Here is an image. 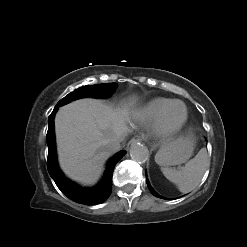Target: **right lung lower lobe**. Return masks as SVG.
Returning a JSON list of instances; mask_svg holds the SVG:
<instances>
[{
	"label": "right lung lower lobe",
	"mask_w": 247,
	"mask_h": 247,
	"mask_svg": "<svg viewBox=\"0 0 247 247\" xmlns=\"http://www.w3.org/2000/svg\"><path fill=\"white\" fill-rule=\"evenodd\" d=\"M60 107L58 104L55 106L53 112L48 118V132L46 135L48 145V160L47 168L50 176L53 178L57 187L69 199L76 203L86 205H94L104 202L111 194L112 191V173L116 163L125 155L126 151L122 150L110 159L107 165L106 173L103 181L96 187L85 189L81 188L75 183L68 180L61 170L58 168L56 148H55V135H54V115Z\"/></svg>",
	"instance_id": "98d812e1"
}]
</instances>
